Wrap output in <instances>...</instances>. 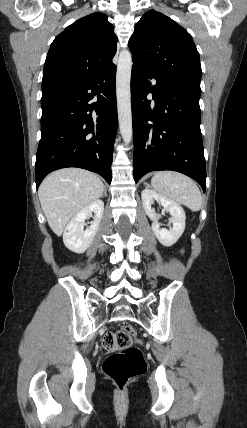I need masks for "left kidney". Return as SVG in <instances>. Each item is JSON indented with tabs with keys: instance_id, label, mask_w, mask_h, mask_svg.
Returning <instances> with one entry per match:
<instances>
[{
	"instance_id": "obj_1",
	"label": "left kidney",
	"mask_w": 247,
	"mask_h": 428,
	"mask_svg": "<svg viewBox=\"0 0 247 428\" xmlns=\"http://www.w3.org/2000/svg\"><path fill=\"white\" fill-rule=\"evenodd\" d=\"M141 198L143 208L152 221V230L159 242L166 247L174 245L185 229L186 216L184 209L180 204L149 188H145L142 191ZM154 201H157L163 207L162 212L170 213L172 227L169 230L160 228L158 220L161 218V215L156 214L155 209L151 207Z\"/></svg>"
}]
</instances>
